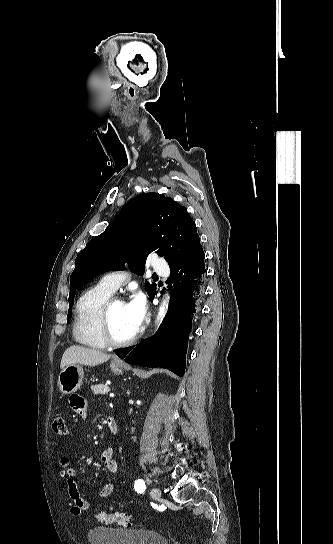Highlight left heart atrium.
Instances as JSON below:
<instances>
[{
  "label": "left heart atrium",
  "mask_w": 333,
  "mask_h": 544,
  "mask_svg": "<svg viewBox=\"0 0 333 544\" xmlns=\"http://www.w3.org/2000/svg\"><path fill=\"white\" fill-rule=\"evenodd\" d=\"M132 325L136 330L140 328L146 314V301L141 293H137L126 304Z\"/></svg>",
  "instance_id": "obj_1"
}]
</instances>
